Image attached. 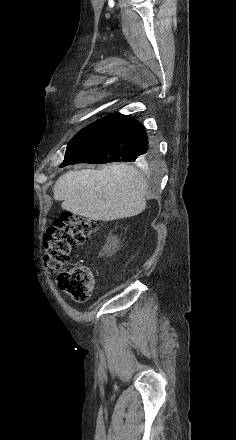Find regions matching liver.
I'll return each instance as SVG.
<instances>
[{
	"label": "liver",
	"instance_id": "6515ba94",
	"mask_svg": "<svg viewBox=\"0 0 236 440\" xmlns=\"http://www.w3.org/2000/svg\"><path fill=\"white\" fill-rule=\"evenodd\" d=\"M146 191L141 173L126 163L69 171L53 187L54 199L62 201V209L95 221L140 214L146 208Z\"/></svg>",
	"mask_w": 236,
	"mask_h": 440
}]
</instances>
